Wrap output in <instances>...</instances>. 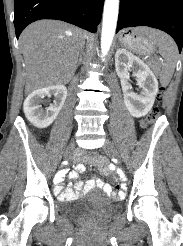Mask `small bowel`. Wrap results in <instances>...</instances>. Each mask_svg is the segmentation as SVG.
<instances>
[{
  "instance_id": "small-bowel-1",
  "label": "small bowel",
  "mask_w": 183,
  "mask_h": 246,
  "mask_svg": "<svg viewBox=\"0 0 183 246\" xmlns=\"http://www.w3.org/2000/svg\"><path fill=\"white\" fill-rule=\"evenodd\" d=\"M84 169L83 164L77 165V170L82 171ZM103 171H107L106 168ZM113 174H122V169H113ZM64 174H69V178L74 181L73 187H68L63 189V180L65 178ZM55 179L53 180L54 194L62 201H68L79 197L82 193L87 192L95 187L103 189L110 198H128V193H117L118 191H124L125 187H132L133 183L129 182V178H118V182H109L104 183L100 178H93L86 182L85 185L81 181L76 180L77 173L71 172L69 169H57V174L54 175Z\"/></svg>"
}]
</instances>
